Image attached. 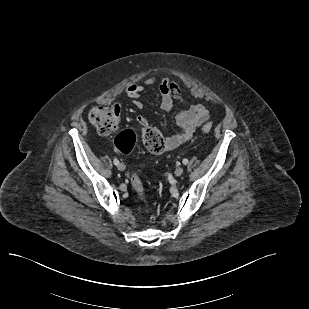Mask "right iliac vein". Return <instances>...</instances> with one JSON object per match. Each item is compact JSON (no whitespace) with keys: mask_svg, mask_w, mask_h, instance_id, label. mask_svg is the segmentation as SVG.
I'll list each match as a JSON object with an SVG mask.
<instances>
[{"mask_svg":"<svg viewBox=\"0 0 309 309\" xmlns=\"http://www.w3.org/2000/svg\"><path fill=\"white\" fill-rule=\"evenodd\" d=\"M117 168H118V170H120V171H124L125 168H126V166H125V164H123V163H119V164L117 165Z\"/></svg>","mask_w":309,"mask_h":309,"instance_id":"obj_1","label":"right iliac vein"}]
</instances>
